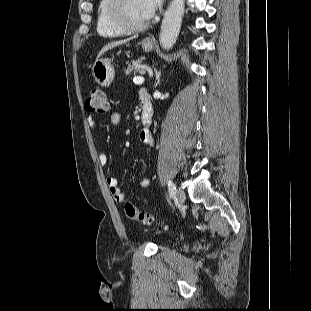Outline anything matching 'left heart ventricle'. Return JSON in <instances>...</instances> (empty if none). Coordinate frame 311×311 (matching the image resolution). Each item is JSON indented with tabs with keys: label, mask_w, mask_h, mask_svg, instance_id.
<instances>
[{
	"label": "left heart ventricle",
	"mask_w": 311,
	"mask_h": 311,
	"mask_svg": "<svg viewBox=\"0 0 311 311\" xmlns=\"http://www.w3.org/2000/svg\"><path fill=\"white\" fill-rule=\"evenodd\" d=\"M124 15L126 20L134 25L142 24L148 20L142 10L140 0H125Z\"/></svg>",
	"instance_id": "left-heart-ventricle-1"
}]
</instances>
